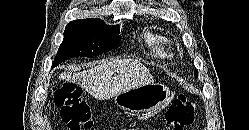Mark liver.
Wrapping results in <instances>:
<instances>
[{"instance_id": "obj_1", "label": "liver", "mask_w": 249, "mask_h": 130, "mask_svg": "<svg viewBox=\"0 0 249 130\" xmlns=\"http://www.w3.org/2000/svg\"><path fill=\"white\" fill-rule=\"evenodd\" d=\"M62 80L79 83L97 100H108L117 94L154 82L150 71L138 60H113L88 70L61 73Z\"/></svg>"}]
</instances>
